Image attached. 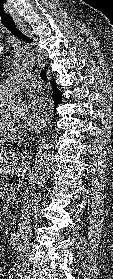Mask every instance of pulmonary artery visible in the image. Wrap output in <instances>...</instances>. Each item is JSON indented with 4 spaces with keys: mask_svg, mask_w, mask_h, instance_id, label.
Instances as JSON below:
<instances>
[{
    "mask_svg": "<svg viewBox=\"0 0 113 279\" xmlns=\"http://www.w3.org/2000/svg\"><path fill=\"white\" fill-rule=\"evenodd\" d=\"M39 88V81L28 74L12 75L0 84V91L9 97L25 89L34 90Z\"/></svg>",
    "mask_w": 113,
    "mask_h": 279,
    "instance_id": "obj_1",
    "label": "pulmonary artery"
}]
</instances>
